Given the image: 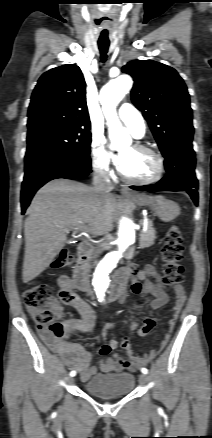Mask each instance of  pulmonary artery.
Masks as SVG:
<instances>
[{
    "label": "pulmonary artery",
    "mask_w": 212,
    "mask_h": 438,
    "mask_svg": "<svg viewBox=\"0 0 212 438\" xmlns=\"http://www.w3.org/2000/svg\"><path fill=\"white\" fill-rule=\"evenodd\" d=\"M119 120L124 123L132 134L140 138L145 134L146 125L140 111L133 105L124 103L118 111Z\"/></svg>",
    "instance_id": "pulmonary-artery-1"
}]
</instances>
